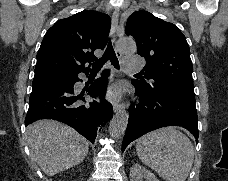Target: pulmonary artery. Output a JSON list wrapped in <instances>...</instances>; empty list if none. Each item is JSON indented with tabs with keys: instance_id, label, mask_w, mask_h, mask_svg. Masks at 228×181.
Here are the masks:
<instances>
[{
	"instance_id": "1",
	"label": "pulmonary artery",
	"mask_w": 228,
	"mask_h": 181,
	"mask_svg": "<svg viewBox=\"0 0 228 181\" xmlns=\"http://www.w3.org/2000/svg\"><path fill=\"white\" fill-rule=\"evenodd\" d=\"M137 62H143V57H123L121 71H139Z\"/></svg>"
}]
</instances>
